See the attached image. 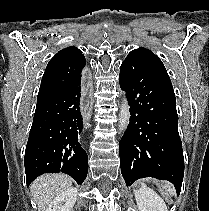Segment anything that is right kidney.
Segmentation results:
<instances>
[{
	"label": "right kidney",
	"instance_id": "1",
	"mask_svg": "<svg viewBox=\"0 0 209 211\" xmlns=\"http://www.w3.org/2000/svg\"><path fill=\"white\" fill-rule=\"evenodd\" d=\"M78 191L74 187H70L50 202L46 211H72V208L77 200Z\"/></svg>",
	"mask_w": 209,
	"mask_h": 211
}]
</instances>
